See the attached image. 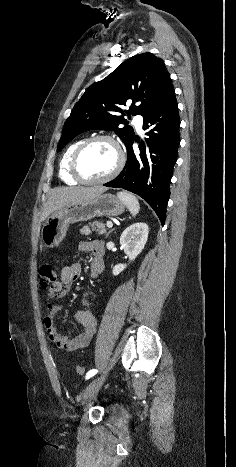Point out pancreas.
Listing matches in <instances>:
<instances>
[{
    "instance_id": "obj_1",
    "label": "pancreas",
    "mask_w": 236,
    "mask_h": 467,
    "mask_svg": "<svg viewBox=\"0 0 236 467\" xmlns=\"http://www.w3.org/2000/svg\"><path fill=\"white\" fill-rule=\"evenodd\" d=\"M91 231H96L98 235L104 234L106 232L105 224L99 221H94L93 223H89L88 225L84 226L80 230V233L90 235Z\"/></svg>"
}]
</instances>
